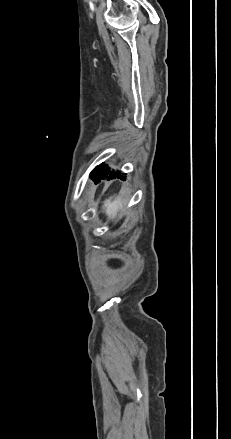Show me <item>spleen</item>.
I'll return each instance as SVG.
<instances>
[{
	"instance_id": "obj_1",
	"label": "spleen",
	"mask_w": 231,
	"mask_h": 439,
	"mask_svg": "<svg viewBox=\"0 0 231 439\" xmlns=\"http://www.w3.org/2000/svg\"><path fill=\"white\" fill-rule=\"evenodd\" d=\"M123 207V202L118 197H112L104 202L103 209L109 217L115 218L119 210Z\"/></svg>"
}]
</instances>
